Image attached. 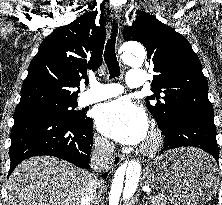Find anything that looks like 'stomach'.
I'll use <instances>...</instances> for the list:
<instances>
[{"label":"stomach","mask_w":222,"mask_h":205,"mask_svg":"<svg viewBox=\"0 0 222 205\" xmlns=\"http://www.w3.org/2000/svg\"><path fill=\"white\" fill-rule=\"evenodd\" d=\"M146 184L167 196L173 205H204L217 189V170L204 152L179 149L149 164Z\"/></svg>","instance_id":"obj_1"}]
</instances>
